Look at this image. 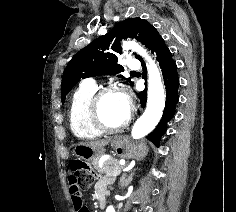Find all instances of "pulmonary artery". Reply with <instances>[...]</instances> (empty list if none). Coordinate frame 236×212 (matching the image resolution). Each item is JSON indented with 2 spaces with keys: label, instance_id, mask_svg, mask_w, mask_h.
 I'll list each match as a JSON object with an SVG mask.
<instances>
[{
  "label": "pulmonary artery",
  "instance_id": "e3ab8cb5",
  "mask_svg": "<svg viewBox=\"0 0 236 212\" xmlns=\"http://www.w3.org/2000/svg\"><path fill=\"white\" fill-rule=\"evenodd\" d=\"M139 67H140V64H139L138 60L132 59V60L128 61V68L129 69L136 70V69H139ZM85 83L89 84V85H95V82L91 79L87 80Z\"/></svg>",
  "mask_w": 236,
  "mask_h": 212
}]
</instances>
